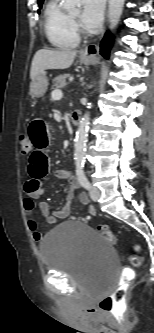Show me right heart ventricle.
<instances>
[{"instance_id": "1", "label": "right heart ventricle", "mask_w": 154, "mask_h": 333, "mask_svg": "<svg viewBox=\"0 0 154 333\" xmlns=\"http://www.w3.org/2000/svg\"><path fill=\"white\" fill-rule=\"evenodd\" d=\"M44 30L48 41L58 49L75 48L79 36L61 0H49L44 11Z\"/></svg>"}]
</instances>
